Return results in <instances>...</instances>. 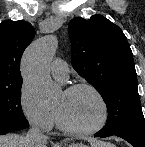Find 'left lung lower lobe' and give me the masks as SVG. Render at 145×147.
Here are the masks:
<instances>
[{"label": "left lung lower lobe", "mask_w": 145, "mask_h": 147, "mask_svg": "<svg viewBox=\"0 0 145 147\" xmlns=\"http://www.w3.org/2000/svg\"><path fill=\"white\" fill-rule=\"evenodd\" d=\"M112 135H116L125 139L131 145H133V147H145V133L142 132L105 133L100 130L94 136L108 137Z\"/></svg>", "instance_id": "left-lung-lower-lobe-1"}]
</instances>
